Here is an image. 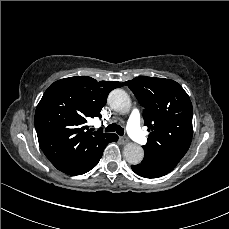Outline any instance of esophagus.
<instances>
[{
	"mask_svg": "<svg viewBox=\"0 0 229 229\" xmlns=\"http://www.w3.org/2000/svg\"><path fill=\"white\" fill-rule=\"evenodd\" d=\"M119 140L122 144H126L127 142H129V138L127 136H121L119 137Z\"/></svg>",
	"mask_w": 229,
	"mask_h": 229,
	"instance_id": "1",
	"label": "esophagus"
}]
</instances>
